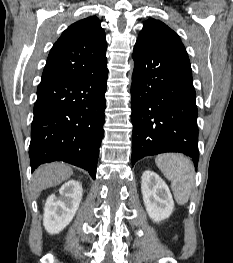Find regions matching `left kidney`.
<instances>
[{
  "mask_svg": "<svg viewBox=\"0 0 233 263\" xmlns=\"http://www.w3.org/2000/svg\"><path fill=\"white\" fill-rule=\"evenodd\" d=\"M141 190L149 217L154 222L169 218L174 209L171 192L158 174L147 170L142 174Z\"/></svg>",
  "mask_w": 233,
  "mask_h": 263,
  "instance_id": "1",
  "label": "left kidney"
}]
</instances>
